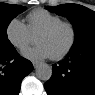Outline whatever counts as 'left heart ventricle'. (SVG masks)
Returning a JSON list of instances; mask_svg holds the SVG:
<instances>
[{
    "instance_id": "obj_1",
    "label": "left heart ventricle",
    "mask_w": 95,
    "mask_h": 95,
    "mask_svg": "<svg viewBox=\"0 0 95 95\" xmlns=\"http://www.w3.org/2000/svg\"><path fill=\"white\" fill-rule=\"evenodd\" d=\"M70 38V30L67 27H61L52 34H38L36 43L44 44L49 49L51 55H56L68 46Z\"/></svg>"
}]
</instances>
